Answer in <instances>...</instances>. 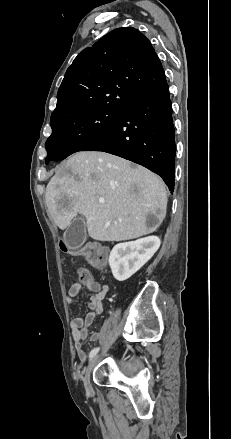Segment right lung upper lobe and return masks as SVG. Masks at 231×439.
<instances>
[{"mask_svg": "<svg viewBox=\"0 0 231 439\" xmlns=\"http://www.w3.org/2000/svg\"><path fill=\"white\" fill-rule=\"evenodd\" d=\"M165 85L148 38L135 28H117L84 49L67 69L51 119L91 108L123 111Z\"/></svg>", "mask_w": 231, "mask_h": 439, "instance_id": "right-lung-upper-lobe-1", "label": "right lung upper lobe"}]
</instances>
